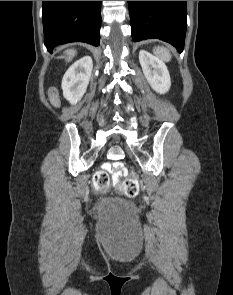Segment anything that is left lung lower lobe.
<instances>
[{
  "label": "left lung lower lobe",
  "mask_w": 233,
  "mask_h": 295,
  "mask_svg": "<svg viewBox=\"0 0 233 295\" xmlns=\"http://www.w3.org/2000/svg\"><path fill=\"white\" fill-rule=\"evenodd\" d=\"M133 41L157 38L181 53L186 34V1H128Z\"/></svg>",
  "instance_id": "1"
}]
</instances>
